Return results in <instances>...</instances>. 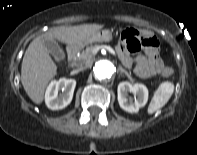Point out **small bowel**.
I'll list each match as a JSON object with an SVG mask.
<instances>
[{"instance_id": "small-bowel-1", "label": "small bowel", "mask_w": 197, "mask_h": 155, "mask_svg": "<svg viewBox=\"0 0 197 155\" xmlns=\"http://www.w3.org/2000/svg\"><path fill=\"white\" fill-rule=\"evenodd\" d=\"M147 48L145 54L133 57L125 39L122 38L117 46V52L122 63L128 68H133L141 78H150L156 74H163L165 69L158 53V46H149Z\"/></svg>"}]
</instances>
